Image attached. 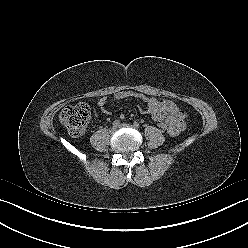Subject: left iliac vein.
<instances>
[{"label": "left iliac vein", "instance_id": "1", "mask_svg": "<svg viewBox=\"0 0 248 248\" xmlns=\"http://www.w3.org/2000/svg\"><path fill=\"white\" fill-rule=\"evenodd\" d=\"M132 125H130V124H126V123H123V124H121L119 127H131Z\"/></svg>", "mask_w": 248, "mask_h": 248}]
</instances>
